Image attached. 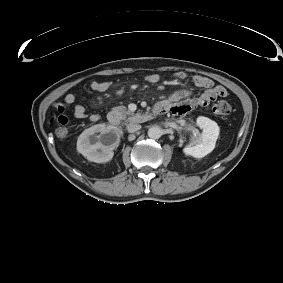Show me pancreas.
I'll use <instances>...</instances> for the list:
<instances>
[{
  "label": "pancreas",
  "instance_id": "cf45deb5",
  "mask_svg": "<svg viewBox=\"0 0 283 283\" xmlns=\"http://www.w3.org/2000/svg\"><path fill=\"white\" fill-rule=\"evenodd\" d=\"M112 113L125 122H141L142 115L128 110L125 106H118L112 109Z\"/></svg>",
  "mask_w": 283,
  "mask_h": 283
}]
</instances>
